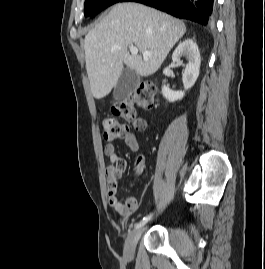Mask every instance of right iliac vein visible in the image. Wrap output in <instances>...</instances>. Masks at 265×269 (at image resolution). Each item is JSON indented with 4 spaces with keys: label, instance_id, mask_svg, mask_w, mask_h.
<instances>
[{
    "label": "right iliac vein",
    "instance_id": "obj_1",
    "mask_svg": "<svg viewBox=\"0 0 265 269\" xmlns=\"http://www.w3.org/2000/svg\"><path fill=\"white\" fill-rule=\"evenodd\" d=\"M144 227L136 228L127 238L124 247V255L128 259H132L135 254V248L139 238L141 237Z\"/></svg>",
    "mask_w": 265,
    "mask_h": 269
}]
</instances>
